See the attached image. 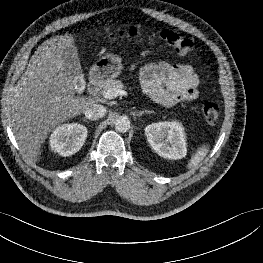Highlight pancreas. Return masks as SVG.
Returning <instances> with one entry per match:
<instances>
[{"label":"pancreas","instance_id":"obj_1","mask_svg":"<svg viewBox=\"0 0 263 263\" xmlns=\"http://www.w3.org/2000/svg\"><path fill=\"white\" fill-rule=\"evenodd\" d=\"M109 88L124 89L125 86L123 85V83L120 80L110 79V80H107L103 83L102 90L100 91V93H103L105 90H107Z\"/></svg>","mask_w":263,"mask_h":263}]
</instances>
